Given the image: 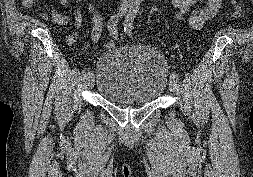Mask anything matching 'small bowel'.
I'll use <instances>...</instances> for the list:
<instances>
[{"label": "small bowel", "instance_id": "small-bowel-1", "mask_svg": "<svg viewBox=\"0 0 253 177\" xmlns=\"http://www.w3.org/2000/svg\"><path fill=\"white\" fill-rule=\"evenodd\" d=\"M37 0H21L22 5L26 9L33 7ZM64 8H69V0H58ZM170 3L177 8L175 18L177 21L188 17V24L191 29L199 30L203 24L212 19L222 7V0H207L203 7H197L200 0H169ZM88 10L93 15L92 39L97 41L102 31V17L97 11V6L94 3L87 5ZM43 19H51L57 25H68L73 23L75 32L68 36V41H74L79 34L82 26V15L75 9L71 14H62L56 7H52L48 12L41 13Z\"/></svg>", "mask_w": 253, "mask_h": 177}]
</instances>
